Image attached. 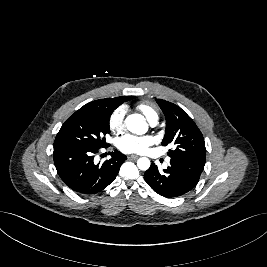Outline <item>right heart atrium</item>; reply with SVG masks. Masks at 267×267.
Wrapping results in <instances>:
<instances>
[{"mask_svg":"<svg viewBox=\"0 0 267 267\" xmlns=\"http://www.w3.org/2000/svg\"><path fill=\"white\" fill-rule=\"evenodd\" d=\"M126 112L124 106H119L111 113L109 117V127L111 131L120 132L123 130Z\"/></svg>","mask_w":267,"mask_h":267,"instance_id":"1","label":"right heart atrium"}]
</instances>
